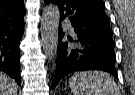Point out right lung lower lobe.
Listing matches in <instances>:
<instances>
[{
  "instance_id": "obj_1",
  "label": "right lung lower lobe",
  "mask_w": 135,
  "mask_h": 95,
  "mask_svg": "<svg viewBox=\"0 0 135 95\" xmlns=\"http://www.w3.org/2000/svg\"><path fill=\"white\" fill-rule=\"evenodd\" d=\"M24 32L23 17L0 20V71L7 73L20 85L19 43Z\"/></svg>"
}]
</instances>
